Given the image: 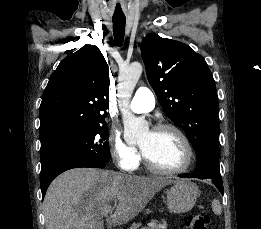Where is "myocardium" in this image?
Listing matches in <instances>:
<instances>
[{
	"label": "myocardium",
	"instance_id": "myocardium-1",
	"mask_svg": "<svg viewBox=\"0 0 261 229\" xmlns=\"http://www.w3.org/2000/svg\"><path fill=\"white\" fill-rule=\"evenodd\" d=\"M160 131H171L178 136L184 149V161L179 167L175 169L160 168L155 166L153 163H151L149 159L145 156L143 151L141 150V156L143 158L145 166L149 171L160 175L171 176V175H177L185 172L191 165L193 159V150L189 139L180 128L169 123L159 124L156 127H154L151 132H160Z\"/></svg>",
	"mask_w": 261,
	"mask_h": 229
}]
</instances>
